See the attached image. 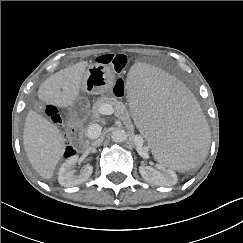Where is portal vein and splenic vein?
I'll list each match as a JSON object with an SVG mask.
<instances>
[{
    "instance_id": "obj_1",
    "label": "portal vein and splenic vein",
    "mask_w": 243,
    "mask_h": 243,
    "mask_svg": "<svg viewBox=\"0 0 243 243\" xmlns=\"http://www.w3.org/2000/svg\"><path fill=\"white\" fill-rule=\"evenodd\" d=\"M101 113H102L103 115H112V114L114 113V110H113V108H112L111 105H109V104H104V105H102V107H101ZM100 133H101V128H100V126L97 125V124H93V125H91V126L88 128V130H87V136H88L89 138H94V137H96L97 135H99Z\"/></svg>"
}]
</instances>
